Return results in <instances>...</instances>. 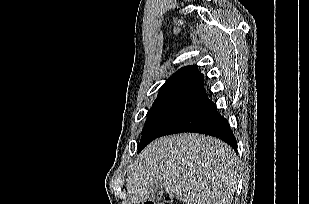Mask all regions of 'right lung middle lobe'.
Listing matches in <instances>:
<instances>
[{"label": "right lung middle lobe", "mask_w": 309, "mask_h": 204, "mask_svg": "<svg viewBox=\"0 0 309 204\" xmlns=\"http://www.w3.org/2000/svg\"><path fill=\"white\" fill-rule=\"evenodd\" d=\"M194 107L196 105L192 103H154L147 114L142 138L137 146L138 152Z\"/></svg>", "instance_id": "right-lung-middle-lobe-1"}]
</instances>
